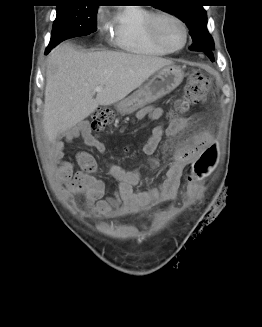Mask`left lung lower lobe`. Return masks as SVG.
<instances>
[{
	"instance_id": "left-lung-lower-lobe-1",
	"label": "left lung lower lobe",
	"mask_w": 262,
	"mask_h": 327,
	"mask_svg": "<svg viewBox=\"0 0 262 327\" xmlns=\"http://www.w3.org/2000/svg\"><path fill=\"white\" fill-rule=\"evenodd\" d=\"M212 61L214 60L213 57V51L212 50H207V51H203Z\"/></svg>"
}]
</instances>
